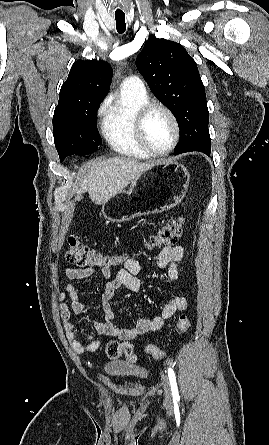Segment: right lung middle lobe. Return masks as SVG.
<instances>
[{"instance_id":"right-lung-middle-lobe-1","label":"right lung middle lobe","mask_w":269,"mask_h":445,"mask_svg":"<svg viewBox=\"0 0 269 445\" xmlns=\"http://www.w3.org/2000/svg\"><path fill=\"white\" fill-rule=\"evenodd\" d=\"M100 103L81 101L57 105L53 116V134L60 161L73 154H91L102 145L95 119Z\"/></svg>"}]
</instances>
